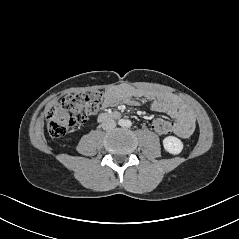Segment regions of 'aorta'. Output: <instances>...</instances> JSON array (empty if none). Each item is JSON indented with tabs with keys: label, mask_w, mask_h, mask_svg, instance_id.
I'll use <instances>...</instances> for the list:
<instances>
[{
	"label": "aorta",
	"mask_w": 239,
	"mask_h": 239,
	"mask_svg": "<svg viewBox=\"0 0 239 239\" xmlns=\"http://www.w3.org/2000/svg\"><path fill=\"white\" fill-rule=\"evenodd\" d=\"M122 126H126V127H129L131 125L130 121L129 120H125L123 121V123L121 124Z\"/></svg>",
	"instance_id": "aorta-1"
}]
</instances>
